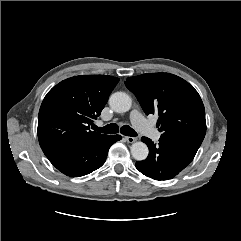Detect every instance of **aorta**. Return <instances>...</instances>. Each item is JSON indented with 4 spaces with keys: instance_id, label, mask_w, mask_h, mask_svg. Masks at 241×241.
Wrapping results in <instances>:
<instances>
[{
    "instance_id": "1",
    "label": "aorta",
    "mask_w": 241,
    "mask_h": 241,
    "mask_svg": "<svg viewBox=\"0 0 241 241\" xmlns=\"http://www.w3.org/2000/svg\"><path fill=\"white\" fill-rule=\"evenodd\" d=\"M110 107L118 113H124L130 110L132 100L130 96L124 92H116L109 98ZM149 150L145 143L139 141L131 145V154L137 161L145 160L148 156Z\"/></svg>"
}]
</instances>
